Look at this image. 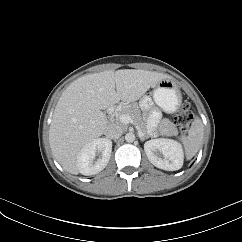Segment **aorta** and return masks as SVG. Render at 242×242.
I'll list each match as a JSON object with an SVG mask.
<instances>
[{
    "label": "aorta",
    "mask_w": 242,
    "mask_h": 242,
    "mask_svg": "<svg viewBox=\"0 0 242 242\" xmlns=\"http://www.w3.org/2000/svg\"><path fill=\"white\" fill-rule=\"evenodd\" d=\"M125 140L128 143H132L135 140V135L133 133H127L125 135Z\"/></svg>",
    "instance_id": "1"
}]
</instances>
